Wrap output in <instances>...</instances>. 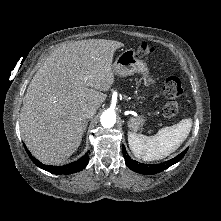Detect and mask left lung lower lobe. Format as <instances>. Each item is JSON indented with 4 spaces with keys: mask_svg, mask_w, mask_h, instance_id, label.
I'll return each mask as SVG.
<instances>
[{
    "mask_svg": "<svg viewBox=\"0 0 221 221\" xmlns=\"http://www.w3.org/2000/svg\"><path fill=\"white\" fill-rule=\"evenodd\" d=\"M188 148L185 149L182 153H180L178 156L174 157L171 160H168L166 162L160 163V164H143L139 163L135 160H132L130 156L127 154L125 147L122 146V151L125 159L126 165L133 171L140 173V174H145V175H153L156 173H159L168 167L172 166L173 164L179 162L184 155L186 154Z\"/></svg>",
    "mask_w": 221,
    "mask_h": 221,
    "instance_id": "1",
    "label": "left lung lower lobe"
}]
</instances>
